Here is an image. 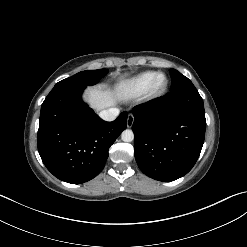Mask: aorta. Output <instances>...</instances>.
I'll return each instance as SVG.
<instances>
[{
    "mask_svg": "<svg viewBox=\"0 0 247 247\" xmlns=\"http://www.w3.org/2000/svg\"><path fill=\"white\" fill-rule=\"evenodd\" d=\"M121 139L124 142H132L134 140V133L130 129H126L121 134Z\"/></svg>",
    "mask_w": 247,
    "mask_h": 247,
    "instance_id": "1",
    "label": "aorta"
}]
</instances>
